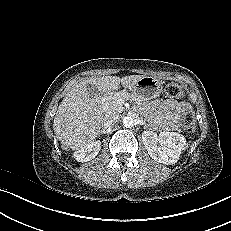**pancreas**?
Instances as JSON below:
<instances>
[{"instance_id":"obj_1","label":"pancreas","mask_w":231,"mask_h":231,"mask_svg":"<svg viewBox=\"0 0 231 231\" xmlns=\"http://www.w3.org/2000/svg\"><path fill=\"white\" fill-rule=\"evenodd\" d=\"M126 100H137V98L127 92H117L104 97L102 108L107 114L121 113L124 110L123 103Z\"/></svg>"}]
</instances>
